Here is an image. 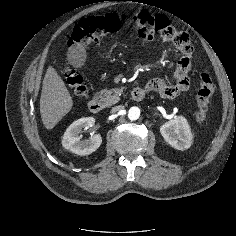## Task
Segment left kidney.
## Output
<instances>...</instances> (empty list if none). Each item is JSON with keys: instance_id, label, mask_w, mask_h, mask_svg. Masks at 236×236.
Masks as SVG:
<instances>
[{"instance_id": "obj_1", "label": "left kidney", "mask_w": 236, "mask_h": 236, "mask_svg": "<svg viewBox=\"0 0 236 236\" xmlns=\"http://www.w3.org/2000/svg\"><path fill=\"white\" fill-rule=\"evenodd\" d=\"M160 132L165 141L177 150L188 149L193 141L190 126L183 116H178L163 124Z\"/></svg>"}]
</instances>
